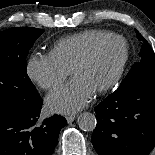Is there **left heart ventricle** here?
Masks as SVG:
<instances>
[{"instance_id": "obj_1", "label": "left heart ventricle", "mask_w": 155, "mask_h": 155, "mask_svg": "<svg viewBox=\"0 0 155 155\" xmlns=\"http://www.w3.org/2000/svg\"><path fill=\"white\" fill-rule=\"evenodd\" d=\"M123 56V43L119 40H110L99 48L86 66L73 75V79L79 80L95 93L111 81L122 62Z\"/></svg>"}]
</instances>
